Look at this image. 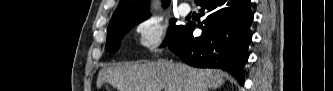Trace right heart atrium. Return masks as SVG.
I'll return each instance as SVG.
<instances>
[{
    "label": "right heart atrium",
    "mask_w": 333,
    "mask_h": 91,
    "mask_svg": "<svg viewBox=\"0 0 333 91\" xmlns=\"http://www.w3.org/2000/svg\"><path fill=\"white\" fill-rule=\"evenodd\" d=\"M135 33L142 50L147 54H156L167 41V26L157 17L142 19L135 25Z\"/></svg>",
    "instance_id": "right-heart-atrium-1"
}]
</instances>
